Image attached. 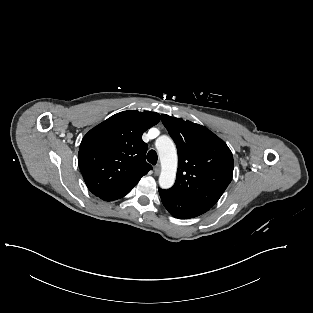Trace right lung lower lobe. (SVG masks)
Listing matches in <instances>:
<instances>
[{
  "label": "right lung lower lobe",
  "instance_id": "1",
  "mask_svg": "<svg viewBox=\"0 0 313 313\" xmlns=\"http://www.w3.org/2000/svg\"><path fill=\"white\" fill-rule=\"evenodd\" d=\"M134 186L135 185H131V186H128V187H125V188H122V189H119V190H116L113 192L106 193V194L101 195L99 197L105 201L117 200L119 198L124 197L126 194H128Z\"/></svg>",
  "mask_w": 313,
  "mask_h": 313
}]
</instances>
